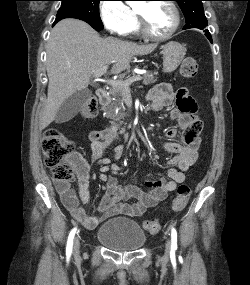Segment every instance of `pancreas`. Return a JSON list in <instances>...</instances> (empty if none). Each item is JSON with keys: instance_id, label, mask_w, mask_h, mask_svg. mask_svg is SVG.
<instances>
[{"instance_id": "cf45deb5", "label": "pancreas", "mask_w": 250, "mask_h": 285, "mask_svg": "<svg viewBox=\"0 0 250 285\" xmlns=\"http://www.w3.org/2000/svg\"><path fill=\"white\" fill-rule=\"evenodd\" d=\"M134 76H136L135 73H133L132 76H128L125 81L129 80ZM142 79L144 85H150L157 81L156 74L152 72H147L146 74H144L142 76ZM124 91L125 90L119 86H112L110 89L111 98L103 106V110L106 112V115L116 121L122 119L126 115V108L123 103ZM117 108L118 112H116Z\"/></svg>"}]
</instances>
